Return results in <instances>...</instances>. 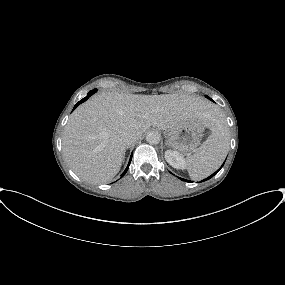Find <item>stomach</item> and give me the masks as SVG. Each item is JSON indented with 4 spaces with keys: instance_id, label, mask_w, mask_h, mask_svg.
<instances>
[{
    "instance_id": "obj_1",
    "label": "stomach",
    "mask_w": 285,
    "mask_h": 285,
    "mask_svg": "<svg viewBox=\"0 0 285 285\" xmlns=\"http://www.w3.org/2000/svg\"><path fill=\"white\" fill-rule=\"evenodd\" d=\"M207 126L201 120H192L166 131L168 144L183 153H192L200 144L201 133Z\"/></svg>"
}]
</instances>
